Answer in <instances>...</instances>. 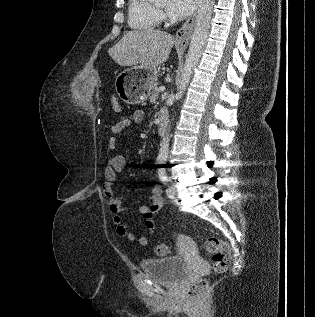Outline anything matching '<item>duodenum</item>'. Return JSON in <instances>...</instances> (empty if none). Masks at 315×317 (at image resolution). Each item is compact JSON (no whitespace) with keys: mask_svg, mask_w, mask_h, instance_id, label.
<instances>
[{"mask_svg":"<svg viewBox=\"0 0 315 317\" xmlns=\"http://www.w3.org/2000/svg\"><path fill=\"white\" fill-rule=\"evenodd\" d=\"M168 122V113L165 109H161L158 116L157 131L159 135H162L165 131Z\"/></svg>","mask_w":315,"mask_h":317,"instance_id":"duodenum-1","label":"duodenum"}]
</instances>
